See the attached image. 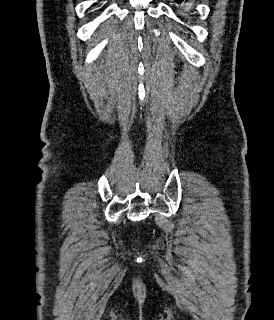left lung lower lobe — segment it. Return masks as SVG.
<instances>
[{
    "label": "left lung lower lobe",
    "instance_id": "obj_1",
    "mask_svg": "<svg viewBox=\"0 0 274 320\" xmlns=\"http://www.w3.org/2000/svg\"><path fill=\"white\" fill-rule=\"evenodd\" d=\"M176 1H178V3L181 4L182 1H184V0H176ZM185 1H187V0H185Z\"/></svg>",
    "mask_w": 274,
    "mask_h": 320
}]
</instances>
